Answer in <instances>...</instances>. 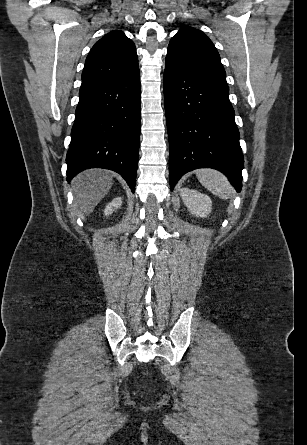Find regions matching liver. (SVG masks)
Listing matches in <instances>:
<instances>
[{
    "mask_svg": "<svg viewBox=\"0 0 307 445\" xmlns=\"http://www.w3.org/2000/svg\"><path fill=\"white\" fill-rule=\"evenodd\" d=\"M74 204L82 212H92L103 196L109 192L113 182L110 170L89 168L73 178Z\"/></svg>",
    "mask_w": 307,
    "mask_h": 445,
    "instance_id": "1",
    "label": "liver"
}]
</instances>
